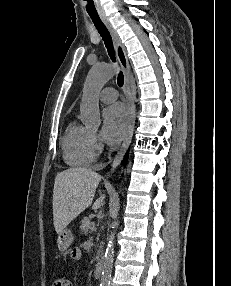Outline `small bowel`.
I'll return each mask as SVG.
<instances>
[{"mask_svg":"<svg viewBox=\"0 0 231 286\" xmlns=\"http://www.w3.org/2000/svg\"><path fill=\"white\" fill-rule=\"evenodd\" d=\"M70 255L74 260H78L81 258V251L79 248H74L71 250Z\"/></svg>","mask_w":231,"mask_h":286,"instance_id":"small-bowel-1","label":"small bowel"}]
</instances>
